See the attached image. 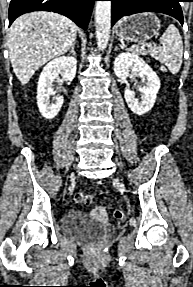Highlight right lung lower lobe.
Segmentation results:
<instances>
[{"instance_id": "right-lung-lower-lobe-1", "label": "right lung lower lobe", "mask_w": 193, "mask_h": 287, "mask_svg": "<svg viewBox=\"0 0 193 287\" xmlns=\"http://www.w3.org/2000/svg\"><path fill=\"white\" fill-rule=\"evenodd\" d=\"M96 0H11L9 25L22 14L32 11H52L70 18L84 30L87 28Z\"/></svg>"}]
</instances>
